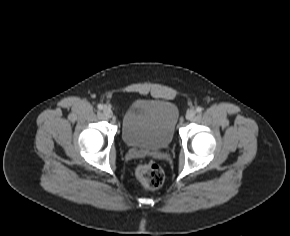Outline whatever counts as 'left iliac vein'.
Returning <instances> with one entry per match:
<instances>
[{
  "label": "left iliac vein",
  "instance_id": "obj_1",
  "mask_svg": "<svg viewBox=\"0 0 290 236\" xmlns=\"http://www.w3.org/2000/svg\"><path fill=\"white\" fill-rule=\"evenodd\" d=\"M196 115V111L194 109H190L187 114H186V118L188 120H192Z\"/></svg>",
  "mask_w": 290,
  "mask_h": 236
}]
</instances>
